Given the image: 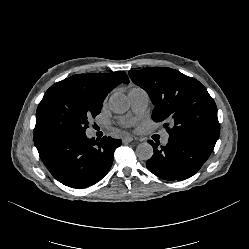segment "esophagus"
Segmentation results:
<instances>
[{
	"instance_id": "obj_1",
	"label": "esophagus",
	"mask_w": 249,
	"mask_h": 249,
	"mask_svg": "<svg viewBox=\"0 0 249 249\" xmlns=\"http://www.w3.org/2000/svg\"><path fill=\"white\" fill-rule=\"evenodd\" d=\"M134 140V138L131 135H125L122 137V141L126 143H130Z\"/></svg>"
}]
</instances>
